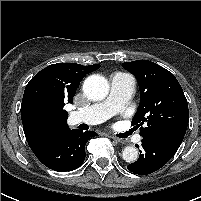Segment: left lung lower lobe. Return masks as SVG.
I'll return each mask as SVG.
<instances>
[{
    "instance_id": "1",
    "label": "left lung lower lobe",
    "mask_w": 201,
    "mask_h": 201,
    "mask_svg": "<svg viewBox=\"0 0 201 201\" xmlns=\"http://www.w3.org/2000/svg\"><path fill=\"white\" fill-rule=\"evenodd\" d=\"M185 134L158 133L143 137L139 159L128 165L129 171L147 175L163 167L180 147ZM138 147V145H136Z\"/></svg>"
}]
</instances>
